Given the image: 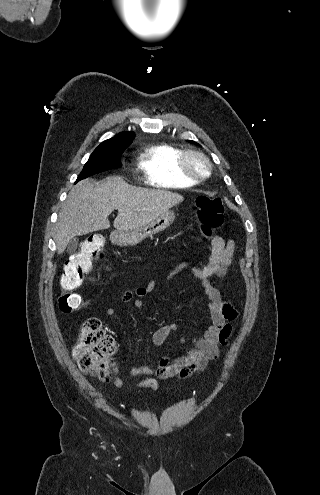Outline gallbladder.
I'll list each match as a JSON object with an SVG mask.
<instances>
[{
    "label": "gallbladder",
    "instance_id": "bac80fb5",
    "mask_svg": "<svg viewBox=\"0 0 320 495\" xmlns=\"http://www.w3.org/2000/svg\"><path fill=\"white\" fill-rule=\"evenodd\" d=\"M77 244H78V239L76 237L72 238L67 245V251L69 253L74 252L76 250Z\"/></svg>",
    "mask_w": 320,
    "mask_h": 495
}]
</instances>
